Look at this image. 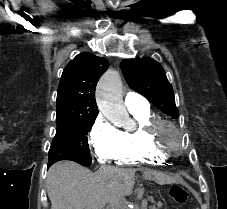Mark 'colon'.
I'll use <instances>...</instances> for the list:
<instances>
[{
    "mask_svg": "<svg viewBox=\"0 0 227 209\" xmlns=\"http://www.w3.org/2000/svg\"><path fill=\"white\" fill-rule=\"evenodd\" d=\"M171 196L176 203L184 204L187 202L189 194L184 187L178 185L171 189Z\"/></svg>",
    "mask_w": 227,
    "mask_h": 209,
    "instance_id": "colon-1",
    "label": "colon"
}]
</instances>
